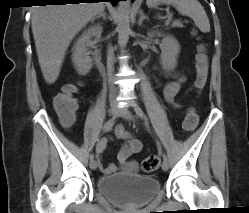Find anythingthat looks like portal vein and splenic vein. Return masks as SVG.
<instances>
[{
    "mask_svg": "<svg viewBox=\"0 0 249 213\" xmlns=\"http://www.w3.org/2000/svg\"><path fill=\"white\" fill-rule=\"evenodd\" d=\"M169 18L171 19V18H172V15H170Z\"/></svg>",
    "mask_w": 249,
    "mask_h": 213,
    "instance_id": "18ae733b",
    "label": "portal vein and splenic vein"
}]
</instances>
